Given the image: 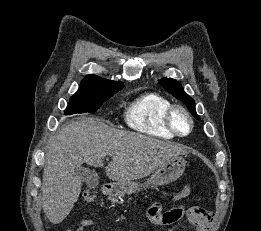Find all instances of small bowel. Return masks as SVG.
Wrapping results in <instances>:
<instances>
[{"mask_svg":"<svg viewBox=\"0 0 261 231\" xmlns=\"http://www.w3.org/2000/svg\"><path fill=\"white\" fill-rule=\"evenodd\" d=\"M185 188L186 191L184 193L180 191L175 196V199L186 197L189 194V188L188 187ZM148 216H149L150 223L154 226H173L182 217H186L189 219L188 210L183 205L164 211L162 204L158 201H154L149 205ZM92 225H93V221L90 218H84L81 222V226L78 227L75 231H85L87 227H91ZM194 229L195 231H199L196 228ZM66 231H72V230L68 229Z\"/></svg>","mask_w":261,"mask_h":231,"instance_id":"c3829d8e","label":"small bowel"}]
</instances>
